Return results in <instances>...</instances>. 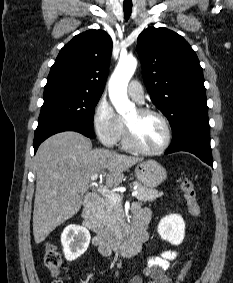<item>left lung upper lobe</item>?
Returning <instances> with one entry per match:
<instances>
[{"label": "left lung upper lobe", "mask_w": 233, "mask_h": 283, "mask_svg": "<svg viewBox=\"0 0 233 283\" xmlns=\"http://www.w3.org/2000/svg\"><path fill=\"white\" fill-rule=\"evenodd\" d=\"M137 52L150 98L168 118L173 137L192 125H209L203 69L188 42L150 27L138 36Z\"/></svg>", "instance_id": "left-lung-upper-lobe-1"}]
</instances>
